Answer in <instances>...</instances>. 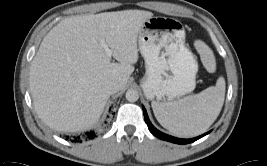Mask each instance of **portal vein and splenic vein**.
Segmentation results:
<instances>
[{"label":"portal vein and splenic vein","instance_id":"obj_1","mask_svg":"<svg viewBox=\"0 0 267 166\" xmlns=\"http://www.w3.org/2000/svg\"><path fill=\"white\" fill-rule=\"evenodd\" d=\"M100 42H101V45H102V47L104 48L106 54H107L109 57H111L113 51H112V50L108 47V45L105 43V40L101 39Z\"/></svg>","mask_w":267,"mask_h":166}]
</instances>
